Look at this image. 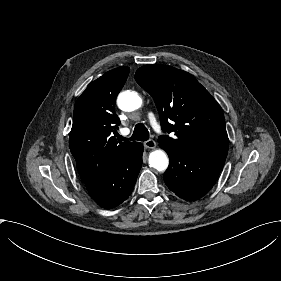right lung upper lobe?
<instances>
[{
  "instance_id": "right-lung-upper-lobe-1",
  "label": "right lung upper lobe",
  "mask_w": 281,
  "mask_h": 281,
  "mask_svg": "<svg viewBox=\"0 0 281 281\" xmlns=\"http://www.w3.org/2000/svg\"><path fill=\"white\" fill-rule=\"evenodd\" d=\"M129 71V67L108 71L91 82L76 101L69 147L83 183L110 172L137 143L119 142L112 136L120 124L116 97Z\"/></svg>"
}]
</instances>
